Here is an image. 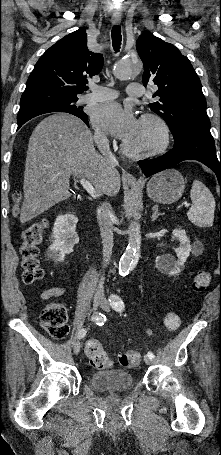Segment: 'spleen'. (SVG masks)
I'll list each match as a JSON object with an SVG mask.
<instances>
[{
    "label": "spleen",
    "mask_w": 221,
    "mask_h": 455,
    "mask_svg": "<svg viewBox=\"0 0 221 455\" xmlns=\"http://www.w3.org/2000/svg\"><path fill=\"white\" fill-rule=\"evenodd\" d=\"M190 197L192 206L187 212L188 219L199 227H212L214 221L215 199L201 181H194Z\"/></svg>",
    "instance_id": "3e777b00"
}]
</instances>
